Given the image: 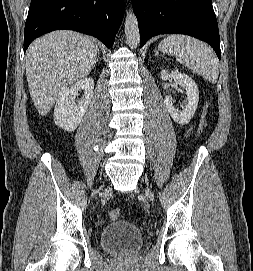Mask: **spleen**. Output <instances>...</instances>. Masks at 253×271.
I'll use <instances>...</instances> for the list:
<instances>
[{"label":"spleen","mask_w":253,"mask_h":271,"mask_svg":"<svg viewBox=\"0 0 253 271\" xmlns=\"http://www.w3.org/2000/svg\"><path fill=\"white\" fill-rule=\"evenodd\" d=\"M163 53L176 57L183 66L215 84L219 76V62L213 50L205 43L186 36L170 35L158 46Z\"/></svg>","instance_id":"1"}]
</instances>
